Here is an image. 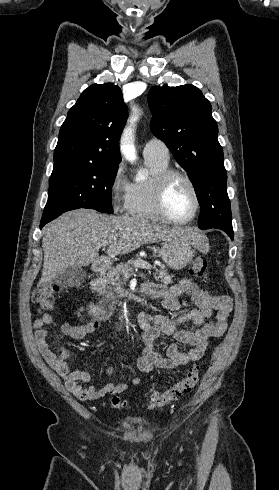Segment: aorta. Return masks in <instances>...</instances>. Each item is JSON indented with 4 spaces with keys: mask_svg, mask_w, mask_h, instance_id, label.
<instances>
[{
    "mask_svg": "<svg viewBox=\"0 0 279 490\" xmlns=\"http://www.w3.org/2000/svg\"><path fill=\"white\" fill-rule=\"evenodd\" d=\"M138 116L133 115L132 118L130 119V124L129 126L124 130L122 137H121V144H120V150L126 160L128 161H134L136 160V153H135V147L133 145V131H134V123L137 120ZM116 326L119 331H123L125 327L128 325V317L126 314V311L121 310L117 313L116 315Z\"/></svg>",
    "mask_w": 279,
    "mask_h": 490,
    "instance_id": "762f6f07",
    "label": "aorta"
}]
</instances>
